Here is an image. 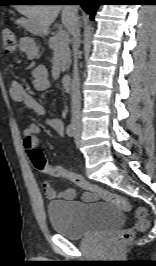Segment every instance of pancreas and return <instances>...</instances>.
I'll use <instances>...</instances> for the list:
<instances>
[{
    "mask_svg": "<svg viewBox=\"0 0 156 266\" xmlns=\"http://www.w3.org/2000/svg\"><path fill=\"white\" fill-rule=\"evenodd\" d=\"M70 40L68 36L61 38L58 34H55L48 41L49 47L53 50L54 54L59 58L61 62L60 69L65 72L71 64V52L69 48Z\"/></svg>",
    "mask_w": 156,
    "mask_h": 266,
    "instance_id": "cf45deb5",
    "label": "pancreas"
}]
</instances>
